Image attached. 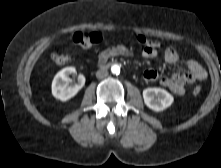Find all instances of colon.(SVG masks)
<instances>
[{
	"mask_svg": "<svg viewBox=\"0 0 221 168\" xmlns=\"http://www.w3.org/2000/svg\"><path fill=\"white\" fill-rule=\"evenodd\" d=\"M73 39H74V42L77 43L78 45L88 47V46H92L101 42L102 35L101 33L96 32V31H92V32L81 31V32L75 33ZM137 41L138 43L143 45L144 48L145 47L154 48L158 45V43L155 40L147 38L144 35H138ZM51 60L55 64L61 65V64H65L69 60V56L65 53L54 51L51 54ZM200 92H201V87L199 86H196L193 89L194 95H198L200 94Z\"/></svg>",
	"mask_w": 221,
	"mask_h": 168,
	"instance_id": "colon-1",
	"label": "colon"
}]
</instances>
